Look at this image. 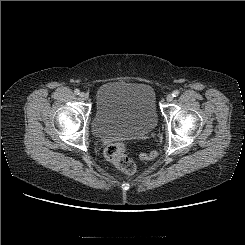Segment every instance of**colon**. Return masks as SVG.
<instances>
[{
	"mask_svg": "<svg viewBox=\"0 0 245 245\" xmlns=\"http://www.w3.org/2000/svg\"><path fill=\"white\" fill-rule=\"evenodd\" d=\"M106 158L115 165L119 170L127 175L135 172L134 162L127 156V149L124 144L114 143L109 145L105 151ZM156 157V152L152 151L148 154L142 155L144 160H152Z\"/></svg>",
	"mask_w": 245,
	"mask_h": 245,
	"instance_id": "colon-1",
	"label": "colon"
}]
</instances>
